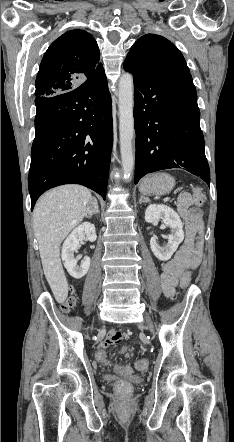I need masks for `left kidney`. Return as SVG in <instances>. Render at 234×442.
<instances>
[{
    "mask_svg": "<svg viewBox=\"0 0 234 442\" xmlns=\"http://www.w3.org/2000/svg\"><path fill=\"white\" fill-rule=\"evenodd\" d=\"M162 222L171 228L172 234L168 235V243L165 247H160L157 238L150 239V246L153 254L161 261H167L177 250L179 244L184 239L183 224L179 215L169 206L163 204H151L146 208L145 221L153 223Z\"/></svg>",
    "mask_w": 234,
    "mask_h": 442,
    "instance_id": "5707ae66",
    "label": "left kidney"
}]
</instances>
